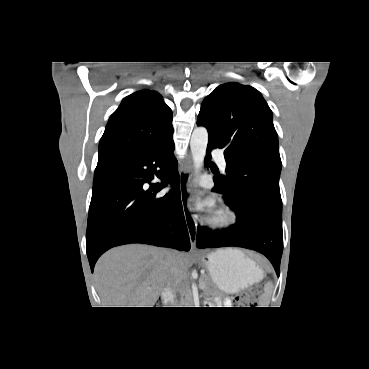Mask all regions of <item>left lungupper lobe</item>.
Instances as JSON below:
<instances>
[{
	"label": "left lung upper lobe",
	"mask_w": 369,
	"mask_h": 369,
	"mask_svg": "<svg viewBox=\"0 0 369 369\" xmlns=\"http://www.w3.org/2000/svg\"><path fill=\"white\" fill-rule=\"evenodd\" d=\"M197 125L224 149L227 177L220 176L222 182L258 185L280 195L277 132L259 91L234 82L219 85L202 102Z\"/></svg>",
	"instance_id": "5c2ea615"
}]
</instances>
